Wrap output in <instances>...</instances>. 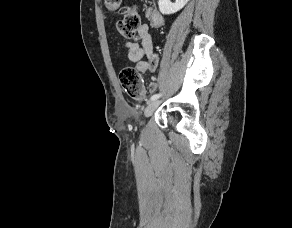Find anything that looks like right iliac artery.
<instances>
[{
    "instance_id": "1",
    "label": "right iliac artery",
    "mask_w": 292,
    "mask_h": 228,
    "mask_svg": "<svg viewBox=\"0 0 292 228\" xmlns=\"http://www.w3.org/2000/svg\"><path fill=\"white\" fill-rule=\"evenodd\" d=\"M160 96H161V94H155V95L151 96V101L157 100Z\"/></svg>"
}]
</instances>
